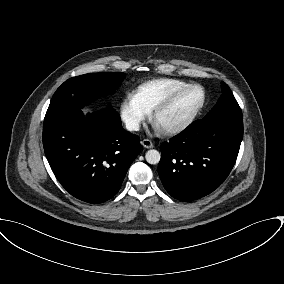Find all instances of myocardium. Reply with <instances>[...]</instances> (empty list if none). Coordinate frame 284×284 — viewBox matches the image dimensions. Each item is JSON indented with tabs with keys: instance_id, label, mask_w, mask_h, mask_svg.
Here are the masks:
<instances>
[{
	"instance_id": "myocardium-1",
	"label": "myocardium",
	"mask_w": 284,
	"mask_h": 284,
	"mask_svg": "<svg viewBox=\"0 0 284 284\" xmlns=\"http://www.w3.org/2000/svg\"><path fill=\"white\" fill-rule=\"evenodd\" d=\"M193 88H197L200 89L202 92V100L200 102V104L194 109V111L187 116L185 119L165 126V127H159L156 124L157 118L164 113L165 111H167L176 101L177 99L186 91H188L189 89H193ZM206 100H207V94H206V90L203 86H201L200 84H187L179 89H177L176 91H174L172 94H170L164 101H162L159 105H157L154 110L151 112V122L157 126V128L159 129V131L163 134L166 135H172V134H178L183 132L184 130H186L198 117V115L201 113V111L203 110L205 104H206Z\"/></svg>"
}]
</instances>
